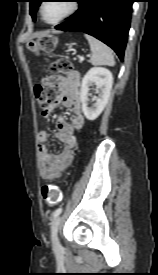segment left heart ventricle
<instances>
[{"instance_id": "obj_1", "label": "left heart ventricle", "mask_w": 158, "mask_h": 275, "mask_svg": "<svg viewBox=\"0 0 158 275\" xmlns=\"http://www.w3.org/2000/svg\"><path fill=\"white\" fill-rule=\"evenodd\" d=\"M70 2L64 0L47 1L43 8V15L48 21H55L68 12Z\"/></svg>"}]
</instances>
